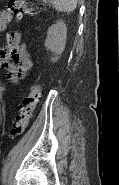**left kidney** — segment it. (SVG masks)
Listing matches in <instances>:
<instances>
[{"label": "left kidney", "instance_id": "obj_1", "mask_svg": "<svg viewBox=\"0 0 119 185\" xmlns=\"http://www.w3.org/2000/svg\"><path fill=\"white\" fill-rule=\"evenodd\" d=\"M66 38L67 27L64 21H57L55 24L48 28L45 47L47 50L54 53V57L51 59L52 62H56L59 59V55H61L64 51Z\"/></svg>", "mask_w": 119, "mask_h": 185}]
</instances>
